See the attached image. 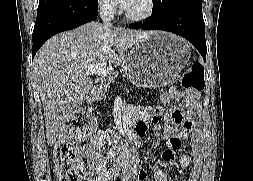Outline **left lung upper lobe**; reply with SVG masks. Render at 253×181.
I'll return each instance as SVG.
<instances>
[{"mask_svg": "<svg viewBox=\"0 0 253 181\" xmlns=\"http://www.w3.org/2000/svg\"><path fill=\"white\" fill-rule=\"evenodd\" d=\"M180 5L202 6V0H156L153 5L152 15L167 12Z\"/></svg>", "mask_w": 253, "mask_h": 181, "instance_id": "1", "label": "left lung upper lobe"}]
</instances>
